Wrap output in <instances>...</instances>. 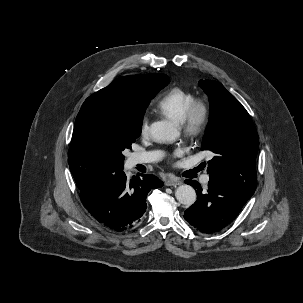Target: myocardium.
Returning <instances> with one entry per match:
<instances>
[{
	"instance_id": "obj_1",
	"label": "myocardium",
	"mask_w": 303,
	"mask_h": 303,
	"mask_svg": "<svg viewBox=\"0 0 303 303\" xmlns=\"http://www.w3.org/2000/svg\"><path fill=\"white\" fill-rule=\"evenodd\" d=\"M210 117V107L207 101L195 98L186 109L179 122L183 132L190 138L199 137L205 130Z\"/></svg>"
}]
</instances>
